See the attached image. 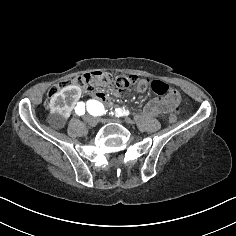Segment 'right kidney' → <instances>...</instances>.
I'll list each match as a JSON object with an SVG mask.
<instances>
[{"label":"right kidney","instance_id":"ca27d5eb","mask_svg":"<svg viewBox=\"0 0 236 236\" xmlns=\"http://www.w3.org/2000/svg\"><path fill=\"white\" fill-rule=\"evenodd\" d=\"M71 90L73 92H69ZM81 94L82 90L79 86H66L53 95L48 118L54 130L58 132L65 130L67 126L65 120H68L71 115V106L80 98Z\"/></svg>","mask_w":236,"mask_h":236}]
</instances>
